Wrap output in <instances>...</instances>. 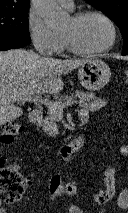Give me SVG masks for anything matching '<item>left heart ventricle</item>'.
Masks as SVG:
<instances>
[{
  "mask_svg": "<svg viewBox=\"0 0 128 213\" xmlns=\"http://www.w3.org/2000/svg\"><path fill=\"white\" fill-rule=\"evenodd\" d=\"M63 32H71L76 43L83 49L97 50L108 45L111 30L108 24L97 16H89L78 23L70 18Z\"/></svg>",
  "mask_w": 128,
  "mask_h": 213,
  "instance_id": "left-heart-ventricle-1",
  "label": "left heart ventricle"
}]
</instances>
